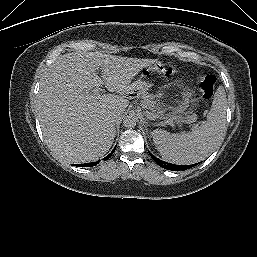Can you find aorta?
<instances>
[{
	"label": "aorta",
	"instance_id": "obj_1",
	"mask_svg": "<svg viewBox=\"0 0 257 257\" xmlns=\"http://www.w3.org/2000/svg\"><path fill=\"white\" fill-rule=\"evenodd\" d=\"M136 123H137V118L133 114L127 115L123 119V125L126 128H134L136 126Z\"/></svg>",
	"mask_w": 257,
	"mask_h": 257
}]
</instances>
